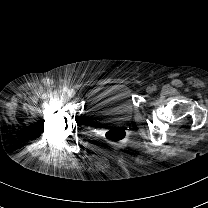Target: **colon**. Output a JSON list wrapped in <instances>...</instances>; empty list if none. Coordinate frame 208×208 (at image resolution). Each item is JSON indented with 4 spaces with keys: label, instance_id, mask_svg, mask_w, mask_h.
<instances>
[{
    "label": "colon",
    "instance_id": "1",
    "mask_svg": "<svg viewBox=\"0 0 208 208\" xmlns=\"http://www.w3.org/2000/svg\"><path fill=\"white\" fill-rule=\"evenodd\" d=\"M104 137L107 142L117 144L125 139L126 131L122 128H114L107 131Z\"/></svg>",
    "mask_w": 208,
    "mask_h": 208
}]
</instances>
